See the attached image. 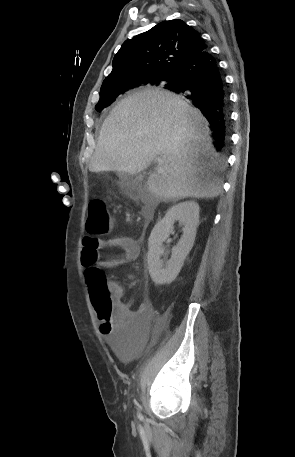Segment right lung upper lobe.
Returning a JSON list of instances; mask_svg holds the SVG:
<instances>
[{
    "mask_svg": "<svg viewBox=\"0 0 295 457\" xmlns=\"http://www.w3.org/2000/svg\"><path fill=\"white\" fill-rule=\"evenodd\" d=\"M206 47L198 32L184 21L159 23L123 43L100 91L115 88L128 91L151 79L174 77L185 62Z\"/></svg>",
    "mask_w": 295,
    "mask_h": 457,
    "instance_id": "cb5924a9",
    "label": "right lung upper lobe"
}]
</instances>
